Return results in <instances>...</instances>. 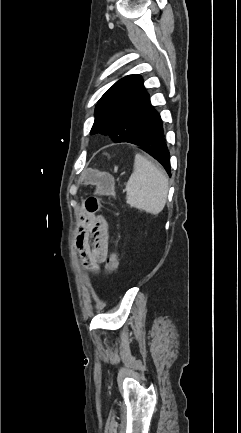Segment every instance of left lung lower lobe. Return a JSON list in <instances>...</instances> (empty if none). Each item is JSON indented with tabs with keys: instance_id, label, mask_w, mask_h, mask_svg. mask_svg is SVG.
Returning a JSON list of instances; mask_svg holds the SVG:
<instances>
[{
	"instance_id": "1",
	"label": "left lung lower lobe",
	"mask_w": 241,
	"mask_h": 433,
	"mask_svg": "<svg viewBox=\"0 0 241 433\" xmlns=\"http://www.w3.org/2000/svg\"><path fill=\"white\" fill-rule=\"evenodd\" d=\"M128 143L139 146L142 150L153 156L170 172V154L164 137V130L160 116L143 133L136 135L127 141Z\"/></svg>"
}]
</instances>
